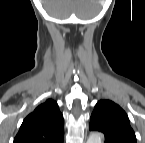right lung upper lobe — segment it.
Listing matches in <instances>:
<instances>
[{
    "label": "right lung upper lobe",
    "mask_w": 145,
    "mask_h": 143,
    "mask_svg": "<svg viewBox=\"0 0 145 143\" xmlns=\"http://www.w3.org/2000/svg\"><path fill=\"white\" fill-rule=\"evenodd\" d=\"M63 138V116L48 99L24 119L14 143H63Z\"/></svg>",
    "instance_id": "obj_1"
}]
</instances>
